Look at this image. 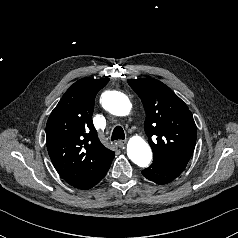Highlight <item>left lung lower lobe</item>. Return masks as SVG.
Here are the masks:
<instances>
[{
  "mask_svg": "<svg viewBox=\"0 0 238 238\" xmlns=\"http://www.w3.org/2000/svg\"><path fill=\"white\" fill-rule=\"evenodd\" d=\"M184 169V166L153 160V163L143 170L142 174L150 181L163 185L173 181Z\"/></svg>",
  "mask_w": 238,
  "mask_h": 238,
  "instance_id": "left-lung-lower-lobe-1",
  "label": "left lung lower lobe"
}]
</instances>
